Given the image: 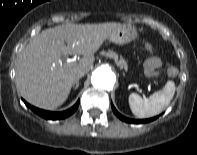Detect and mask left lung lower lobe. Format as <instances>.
<instances>
[{
  "mask_svg": "<svg viewBox=\"0 0 197 155\" xmlns=\"http://www.w3.org/2000/svg\"><path fill=\"white\" fill-rule=\"evenodd\" d=\"M111 107L113 109V112L116 114V116L119 119H121L122 121L127 122V123H134V124L148 123V122H151L157 118V117H153V118H149V119L134 120V119L126 118V117L122 116L121 114H119L112 103H111Z\"/></svg>",
  "mask_w": 197,
  "mask_h": 155,
  "instance_id": "obj_1",
  "label": "left lung lower lobe"
}]
</instances>
